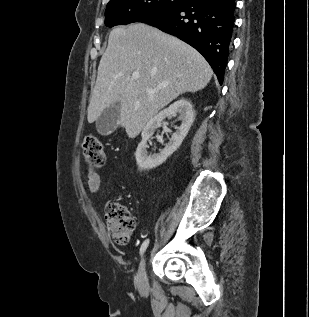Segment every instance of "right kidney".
I'll return each mask as SVG.
<instances>
[{"label":"right kidney","mask_w":309,"mask_h":317,"mask_svg":"<svg viewBox=\"0 0 309 317\" xmlns=\"http://www.w3.org/2000/svg\"><path fill=\"white\" fill-rule=\"evenodd\" d=\"M176 115H178V119L181 121L178 130L173 133L170 141L160 153L148 155L146 144L149 138L154 134L155 130L161 126L165 118ZM194 117L195 113L191 103L186 99H180L151 118L142 130V140L135 153L138 167L141 170H149L160 166L179 148L193 124Z\"/></svg>","instance_id":"right-kidney-1"}]
</instances>
